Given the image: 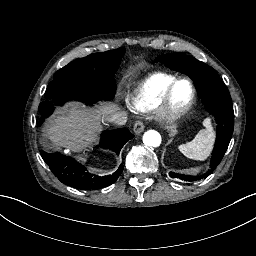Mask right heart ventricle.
Listing matches in <instances>:
<instances>
[{"mask_svg": "<svg viewBox=\"0 0 256 256\" xmlns=\"http://www.w3.org/2000/svg\"><path fill=\"white\" fill-rule=\"evenodd\" d=\"M143 69H145V65L138 64L131 67L129 71L135 72ZM177 79V76L173 74L154 73L138 86L135 90V97L137 100L147 99L151 103H156Z\"/></svg>", "mask_w": 256, "mask_h": 256, "instance_id": "1", "label": "right heart ventricle"}]
</instances>
